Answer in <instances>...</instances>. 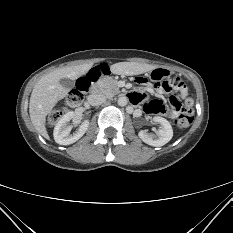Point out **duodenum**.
<instances>
[{"instance_id":"duodenum-1","label":"duodenum","mask_w":233,"mask_h":233,"mask_svg":"<svg viewBox=\"0 0 233 233\" xmlns=\"http://www.w3.org/2000/svg\"><path fill=\"white\" fill-rule=\"evenodd\" d=\"M109 71L110 66L107 63H100L85 74V81L93 83L101 74H107ZM89 92L101 93L102 89L99 86H89Z\"/></svg>"}]
</instances>
